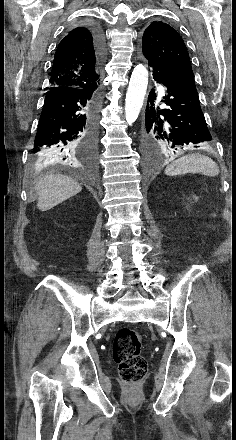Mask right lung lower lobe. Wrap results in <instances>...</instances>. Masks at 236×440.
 <instances>
[{
	"mask_svg": "<svg viewBox=\"0 0 236 440\" xmlns=\"http://www.w3.org/2000/svg\"><path fill=\"white\" fill-rule=\"evenodd\" d=\"M102 64L106 46L101 29L88 24ZM100 80L86 87H64L46 92L35 137L33 154L43 161H64L92 169L97 158ZM78 144L75 154L72 147Z\"/></svg>",
	"mask_w": 236,
	"mask_h": 440,
	"instance_id": "right-lung-lower-lobe-1",
	"label": "right lung lower lobe"
}]
</instances>
